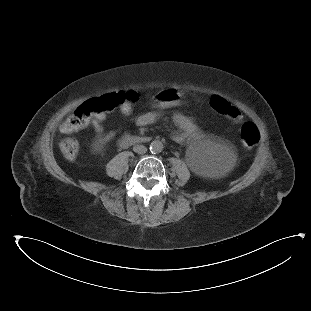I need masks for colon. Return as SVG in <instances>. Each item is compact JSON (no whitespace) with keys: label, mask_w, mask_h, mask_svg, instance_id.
Listing matches in <instances>:
<instances>
[{"label":"colon","mask_w":311,"mask_h":311,"mask_svg":"<svg viewBox=\"0 0 311 311\" xmlns=\"http://www.w3.org/2000/svg\"><path fill=\"white\" fill-rule=\"evenodd\" d=\"M139 99V92L122 90L88 101L64 118V121L58 125V132L62 136H72L78 128L88 124L100 113L109 114L120 108L125 112L132 111ZM208 104L214 111H219L221 116L228 117L232 121H239L242 117V110L231 103H223L221 95H210ZM241 137L245 147L252 148L260 140L259 129L252 123H245L241 127ZM60 150L66 160L74 161L80 153V144L77 140L68 138L61 142Z\"/></svg>","instance_id":"5ec220e1"}]
</instances>
